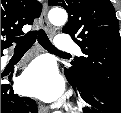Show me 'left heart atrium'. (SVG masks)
Segmentation results:
<instances>
[{
  "instance_id": "left-heart-atrium-1",
  "label": "left heart atrium",
  "mask_w": 121,
  "mask_h": 113,
  "mask_svg": "<svg viewBox=\"0 0 121 113\" xmlns=\"http://www.w3.org/2000/svg\"><path fill=\"white\" fill-rule=\"evenodd\" d=\"M22 90L46 101L57 99L63 92V80L57 68L44 59L36 60L25 71L21 80Z\"/></svg>"
}]
</instances>
